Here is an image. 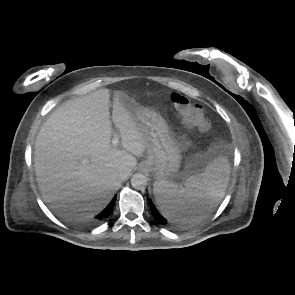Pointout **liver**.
Returning a JSON list of instances; mask_svg holds the SVG:
<instances>
[{
  "label": "liver",
  "mask_w": 295,
  "mask_h": 295,
  "mask_svg": "<svg viewBox=\"0 0 295 295\" xmlns=\"http://www.w3.org/2000/svg\"><path fill=\"white\" fill-rule=\"evenodd\" d=\"M109 101L108 89L69 100L38 133L34 151L38 185L44 201L64 218L83 220L102 211L120 187V175L128 177L137 165L136 157L147 148L122 92L114 94L112 111L122 148L111 144Z\"/></svg>",
  "instance_id": "liver-1"
}]
</instances>
